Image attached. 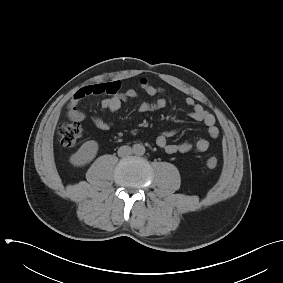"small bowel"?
<instances>
[{"instance_id": "small-bowel-1", "label": "small bowel", "mask_w": 283, "mask_h": 283, "mask_svg": "<svg viewBox=\"0 0 283 283\" xmlns=\"http://www.w3.org/2000/svg\"><path fill=\"white\" fill-rule=\"evenodd\" d=\"M140 85L148 96L155 98L152 102L139 104L138 110L140 112L158 111L167 105L165 90L163 88L151 85L146 79H141ZM120 88L121 85L118 81L98 83L80 88L69 102L67 117L76 122L84 120L85 113L80 109L82 100L87 96L101 94L107 95L101 101V108L109 113H116L124 102L129 99H135L138 96L136 90L133 88L125 91H121ZM185 103L191 108L190 117L195 121L202 122L206 126L207 133L211 138H217L219 129L216 126L215 116L205 110L202 105L196 103L192 97H187ZM93 123L98 129L103 131L110 129L112 124L111 121H106L99 116L93 118ZM175 134V130H168L161 133L156 139L157 146L169 155L190 151L205 152L209 148V141L205 138H199L194 142L170 143L169 138Z\"/></svg>"}]
</instances>
